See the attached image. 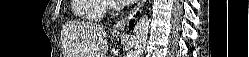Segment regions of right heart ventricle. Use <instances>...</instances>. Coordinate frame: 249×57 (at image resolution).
<instances>
[{
    "label": "right heart ventricle",
    "instance_id": "e07e8e85",
    "mask_svg": "<svg viewBox=\"0 0 249 57\" xmlns=\"http://www.w3.org/2000/svg\"><path fill=\"white\" fill-rule=\"evenodd\" d=\"M72 10L82 19L96 21L101 18L105 10V2L103 0H74Z\"/></svg>",
    "mask_w": 249,
    "mask_h": 57
}]
</instances>
